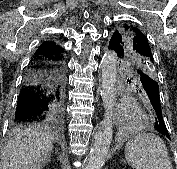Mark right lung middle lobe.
Returning <instances> with one entry per match:
<instances>
[{
    "label": "right lung middle lobe",
    "mask_w": 177,
    "mask_h": 169,
    "mask_svg": "<svg viewBox=\"0 0 177 169\" xmlns=\"http://www.w3.org/2000/svg\"><path fill=\"white\" fill-rule=\"evenodd\" d=\"M62 124V121L58 122L57 125L60 126Z\"/></svg>",
    "instance_id": "right-lung-middle-lobe-1"
}]
</instances>
